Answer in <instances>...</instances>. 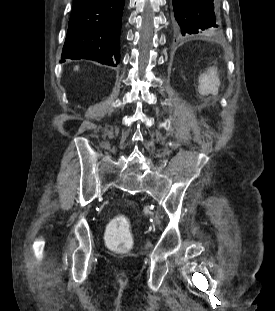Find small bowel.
I'll return each mask as SVG.
<instances>
[{
  "label": "small bowel",
  "mask_w": 275,
  "mask_h": 311,
  "mask_svg": "<svg viewBox=\"0 0 275 311\" xmlns=\"http://www.w3.org/2000/svg\"><path fill=\"white\" fill-rule=\"evenodd\" d=\"M216 62L220 61L219 57L215 58ZM222 65L214 64L213 69H208L207 73H200V80L196 81L197 92L200 98H217L219 93V76L222 74Z\"/></svg>",
  "instance_id": "small-bowel-1"
}]
</instances>
